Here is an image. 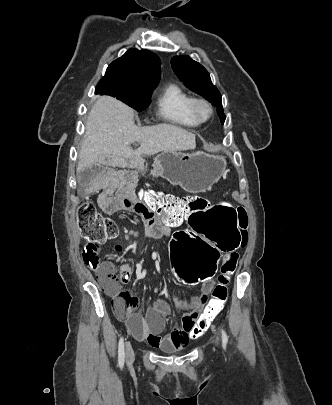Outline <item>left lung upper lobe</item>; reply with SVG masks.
I'll return each instance as SVG.
<instances>
[{"label": "left lung upper lobe", "instance_id": "1", "mask_svg": "<svg viewBox=\"0 0 332 405\" xmlns=\"http://www.w3.org/2000/svg\"><path fill=\"white\" fill-rule=\"evenodd\" d=\"M171 66L186 87L203 96L217 107L218 116L221 119V123L224 124L225 115L221 103V94L216 86L212 84L207 70L189 56L173 57Z\"/></svg>", "mask_w": 332, "mask_h": 405}]
</instances>
